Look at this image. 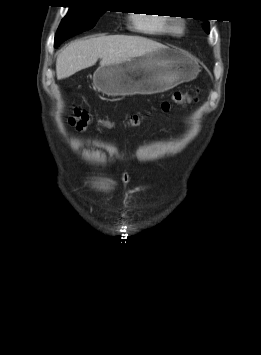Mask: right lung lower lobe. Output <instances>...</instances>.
Listing matches in <instances>:
<instances>
[{
	"instance_id": "right-lung-lower-lobe-1",
	"label": "right lung lower lobe",
	"mask_w": 261,
	"mask_h": 355,
	"mask_svg": "<svg viewBox=\"0 0 261 355\" xmlns=\"http://www.w3.org/2000/svg\"><path fill=\"white\" fill-rule=\"evenodd\" d=\"M63 41L64 39L55 41L54 47L57 48Z\"/></svg>"
}]
</instances>
